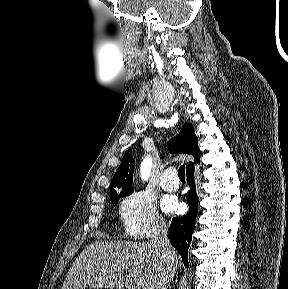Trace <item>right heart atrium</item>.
<instances>
[{"mask_svg":"<svg viewBox=\"0 0 288 289\" xmlns=\"http://www.w3.org/2000/svg\"><path fill=\"white\" fill-rule=\"evenodd\" d=\"M120 217L126 234L136 239H149L164 229L156 204L141 191L129 194L121 203Z\"/></svg>","mask_w":288,"mask_h":289,"instance_id":"d8ad5b80","label":"right heart atrium"}]
</instances>
